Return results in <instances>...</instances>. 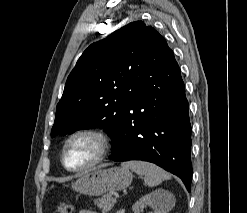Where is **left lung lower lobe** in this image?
Segmentation results:
<instances>
[{"mask_svg": "<svg viewBox=\"0 0 247 213\" xmlns=\"http://www.w3.org/2000/svg\"><path fill=\"white\" fill-rule=\"evenodd\" d=\"M130 99L111 149L112 161L144 160L191 188V125L180 68L170 51Z\"/></svg>", "mask_w": 247, "mask_h": 213, "instance_id": "left-lung-lower-lobe-1", "label": "left lung lower lobe"}]
</instances>
